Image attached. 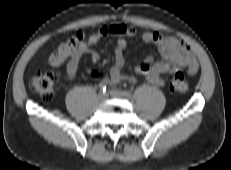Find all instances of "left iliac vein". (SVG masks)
I'll return each instance as SVG.
<instances>
[{"label":"left iliac vein","instance_id":"4c4485c4","mask_svg":"<svg viewBox=\"0 0 231 170\" xmlns=\"http://www.w3.org/2000/svg\"><path fill=\"white\" fill-rule=\"evenodd\" d=\"M109 95L113 98H124V95L122 94V92L117 89H111L109 91Z\"/></svg>","mask_w":231,"mask_h":170}]
</instances>
